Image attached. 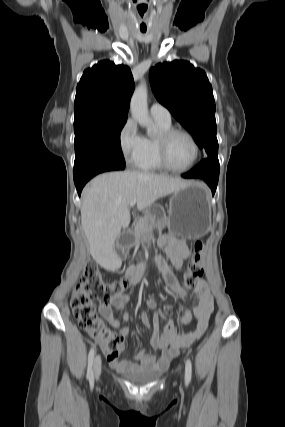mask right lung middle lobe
<instances>
[{
    "label": "right lung middle lobe",
    "mask_w": 285,
    "mask_h": 427,
    "mask_svg": "<svg viewBox=\"0 0 285 427\" xmlns=\"http://www.w3.org/2000/svg\"><path fill=\"white\" fill-rule=\"evenodd\" d=\"M127 118L84 116L74 119V174L94 160L125 163L120 133Z\"/></svg>",
    "instance_id": "dd1d6c3e"
}]
</instances>
